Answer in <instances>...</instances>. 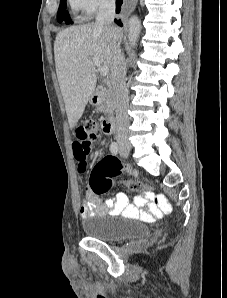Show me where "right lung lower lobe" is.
<instances>
[{"instance_id": "obj_1", "label": "right lung lower lobe", "mask_w": 227, "mask_h": 298, "mask_svg": "<svg viewBox=\"0 0 227 298\" xmlns=\"http://www.w3.org/2000/svg\"><path fill=\"white\" fill-rule=\"evenodd\" d=\"M122 3H123V0H116V13L120 12V7H121ZM115 22L120 26L123 25L120 20L115 19Z\"/></svg>"}]
</instances>
